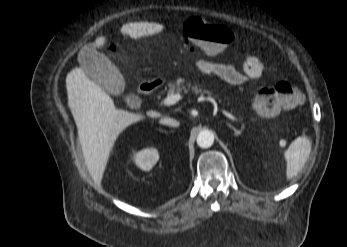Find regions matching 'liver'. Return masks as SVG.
Returning a JSON list of instances; mask_svg holds the SVG:
<instances>
[{
  "mask_svg": "<svg viewBox=\"0 0 347 247\" xmlns=\"http://www.w3.org/2000/svg\"><path fill=\"white\" fill-rule=\"evenodd\" d=\"M159 25L145 23L135 27L125 24L122 34L132 38L151 35ZM105 37H98L88 45L102 47ZM88 45H85L80 52ZM68 106L78 128V135L87 167L97 182H101L109 155L118 136L128 126L145 119V116L116 109L112 98L102 90L81 68H75L66 76ZM160 113L148 111L147 117L156 118Z\"/></svg>",
  "mask_w": 347,
  "mask_h": 247,
  "instance_id": "1",
  "label": "liver"
}]
</instances>
